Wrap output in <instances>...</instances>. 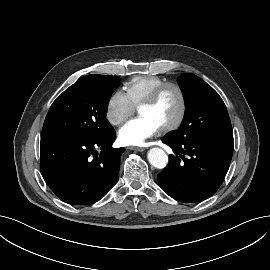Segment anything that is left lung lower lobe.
<instances>
[{"label":"left lung lower lobe","mask_w":270,"mask_h":270,"mask_svg":"<svg viewBox=\"0 0 270 270\" xmlns=\"http://www.w3.org/2000/svg\"><path fill=\"white\" fill-rule=\"evenodd\" d=\"M180 157L169 155L168 166L158 174L163 191L180 202H198L212 196L229 169L233 137L193 135L177 142L169 136L162 140ZM188 155V158L184 157Z\"/></svg>","instance_id":"1"}]
</instances>
